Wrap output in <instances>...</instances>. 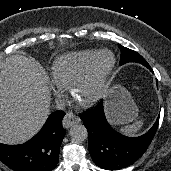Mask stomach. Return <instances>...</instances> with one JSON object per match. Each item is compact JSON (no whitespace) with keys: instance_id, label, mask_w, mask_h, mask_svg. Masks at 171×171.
<instances>
[{"instance_id":"1","label":"stomach","mask_w":171,"mask_h":171,"mask_svg":"<svg viewBox=\"0 0 171 171\" xmlns=\"http://www.w3.org/2000/svg\"><path fill=\"white\" fill-rule=\"evenodd\" d=\"M107 115L112 124H128L138 116V108L129 92L120 85L111 87L106 94Z\"/></svg>"}]
</instances>
